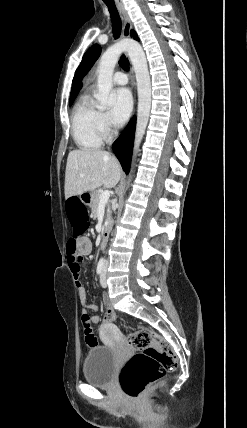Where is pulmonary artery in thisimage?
<instances>
[{
	"label": "pulmonary artery",
	"mask_w": 247,
	"mask_h": 428,
	"mask_svg": "<svg viewBox=\"0 0 247 428\" xmlns=\"http://www.w3.org/2000/svg\"><path fill=\"white\" fill-rule=\"evenodd\" d=\"M112 80L117 85H126L128 83L126 74L120 71L114 73Z\"/></svg>",
	"instance_id": "obj_1"
}]
</instances>
